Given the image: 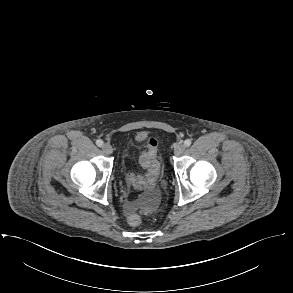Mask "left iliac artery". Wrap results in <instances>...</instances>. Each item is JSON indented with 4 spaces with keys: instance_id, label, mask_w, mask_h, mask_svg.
I'll return each instance as SVG.
<instances>
[{
    "instance_id": "left-iliac-artery-1",
    "label": "left iliac artery",
    "mask_w": 293,
    "mask_h": 293,
    "mask_svg": "<svg viewBox=\"0 0 293 293\" xmlns=\"http://www.w3.org/2000/svg\"><path fill=\"white\" fill-rule=\"evenodd\" d=\"M191 140L190 139H186L185 141H184V145H185V147H189L190 145H191Z\"/></svg>"
}]
</instances>
